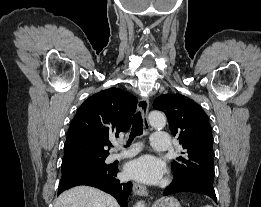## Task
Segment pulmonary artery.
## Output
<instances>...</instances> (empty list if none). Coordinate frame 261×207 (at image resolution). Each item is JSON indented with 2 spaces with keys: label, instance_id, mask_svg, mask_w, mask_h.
<instances>
[{
  "label": "pulmonary artery",
  "instance_id": "1",
  "mask_svg": "<svg viewBox=\"0 0 261 207\" xmlns=\"http://www.w3.org/2000/svg\"><path fill=\"white\" fill-rule=\"evenodd\" d=\"M151 146L153 149L158 151H165L168 149V135L165 132L157 131L154 132L151 136ZM139 151V148L137 146L124 151L119 154H112L109 156V160H117L121 159L127 156H132L136 154Z\"/></svg>",
  "mask_w": 261,
  "mask_h": 207
}]
</instances>
